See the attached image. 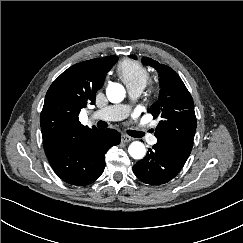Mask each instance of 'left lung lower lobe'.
Wrapping results in <instances>:
<instances>
[{"mask_svg":"<svg viewBox=\"0 0 243 243\" xmlns=\"http://www.w3.org/2000/svg\"><path fill=\"white\" fill-rule=\"evenodd\" d=\"M188 158L161 144L148 150L144 159L133 166L136 177L150 185H161L180 172Z\"/></svg>","mask_w":243,"mask_h":243,"instance_id":"obj_1","label":"left lung lower lobe"}]
</instances>
